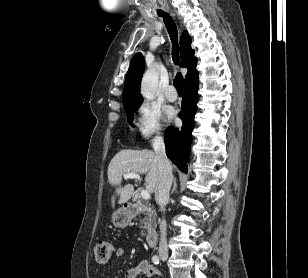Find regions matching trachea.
Here are the masks:
<instances>
[{
	"label": "trachea",
	"mask_w": 308,
	"mask_h": 278,
	"mask_svg": "<svg viewBox=\"0 0 308 278\" xmlns=\"http://www.w3.org/2000/svg\"><path fill=\"white\" fill-rule=\"evenodd\" d=\"M158 16L163 17L165 26L168 30V33L170 35L171 41H172V55L173 60L175 62L179 61V55H178V36H177V27L172 19V17L165 12H159ZM174 87L176 88L178 93H183V76L178 73L174 79Z\"/></svg>",
	"instance_id": "obj_1"
}]
</instances>
